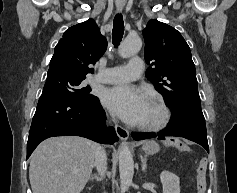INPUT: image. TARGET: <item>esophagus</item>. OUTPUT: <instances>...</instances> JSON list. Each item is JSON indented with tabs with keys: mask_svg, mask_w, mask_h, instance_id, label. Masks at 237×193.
<instances>
[{
	"mask_svg": "<svg viewBox=\"0 0 237 193\" xmlns=\"http://www.w3.org/2000/svg\"><path fill=\"white\" fill-rule=\"evenodd\" d=\"M117 11L121 12L122 11V6H118ZM115 130H116V133H117L118 137L121 140L126 141L129 138V131L127 129L123 128L122 126L116 124L115 125Z\"/></svg>",
	"mask_w": 237,
	"mask_h": 193,
	"instance_id": "1",
	"label": "esophagus"
}]
</instances>
